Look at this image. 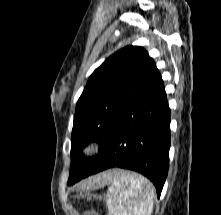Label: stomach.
Instances as JSON below:
<instances>
[{
    "mask_svg": "<svg viewBox=\"0 0 221 215\" xmlns=\"http://www.w3.org/2000/svg\"><path fill=\"white\" fill-rule=\"evenodd\" d=\"M89 198H91V197H93V198H96V196L95 195H93V196H91V195H87ZM100 198V197H99Z\"/></svg>",
    "mask_w": 221,
    "mask_h": 215,
    "instance_id": "obj_1",
    "label": "stomach"
}]
</instances>
